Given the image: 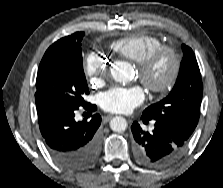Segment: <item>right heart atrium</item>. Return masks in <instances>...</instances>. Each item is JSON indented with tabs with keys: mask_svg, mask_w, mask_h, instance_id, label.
Segmentation results:
<instances>
[{
	"mask_svg": "<svg viewBox=\"0 0 223 188\" xmlns=\"http://www.w3.org/2000/svg\"><path fill=\"white\" fill-rule=\"evenodd\" d=\"M108 69V61L98 53H89L84 60V73L92 84L102 81Z\"/></svg>",
	"mask_w": 223,
	"mask_h": 188,
	"instance_id": "obj_1",
	"label": "right heart atrium"
}]
</instances>
